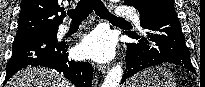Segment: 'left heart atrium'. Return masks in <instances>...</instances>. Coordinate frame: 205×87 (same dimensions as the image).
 Listing matches in <instances>:
<instances>
[{"label": "left heart atrium", "mask_w": 205, "mask_h": 87, "mask_svg": "<svg viewBox=\"0 0 205 87\" xmlns=\"http://www.w3.org/2000/svg\"><path fill=\"white\" fill-rule=\"evenodd\" d=\"M77 52L81 58L92 59L97 62L108 61L115 53L114 39L107 32L94 31L81 42Z\"/></svg>", "instance_id": "obj_1"}]
</instances>
